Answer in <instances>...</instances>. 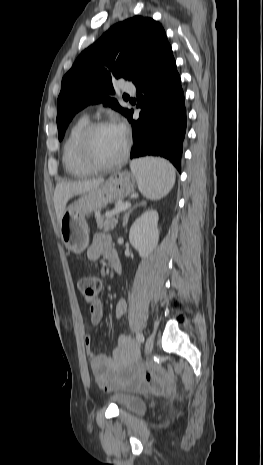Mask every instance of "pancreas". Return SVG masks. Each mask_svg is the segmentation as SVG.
Masks as SVG:
<instances>
[{"label": "pancreas", "mask_w": 263, "mask_h": 465, "mask_svg": "<svg viewBox=\"0 0 263 465\" xmlns=\"http://www.w3.org/2000/svg\"><path fill=\"white\" fill-rule=\"evenodd\" d=\"M95 219L97 222V227L100 230H104L105 232L112 231L118 222V220L112 216L104 218L103 216L100 215L99 212H96Z\"/></svg>", "instance_id": "pancreas-1"}]
</instances>
